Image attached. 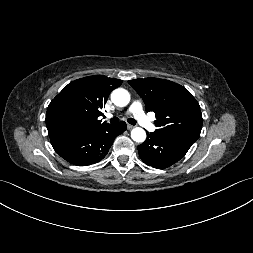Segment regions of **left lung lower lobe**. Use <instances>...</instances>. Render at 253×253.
Wrapping results in <instances>:
<instances>
[{"instance_id": "left-lung-lower-lobe-1", "label": "left lung lower lobe", "mask_w": 253, "mask_h": 253, "mask_svg": "<svg viewBox=\"0 0 253 253\" xmlns=\"http://www.w3.org/2000/svg\"><path fill=\"white\" fill-rule=\"evenodd\" d=\"M147 139L138 146L141 160L157 169L167 168L179 161L191 144L147 132Z\"/></svg>"}]
</instances>
